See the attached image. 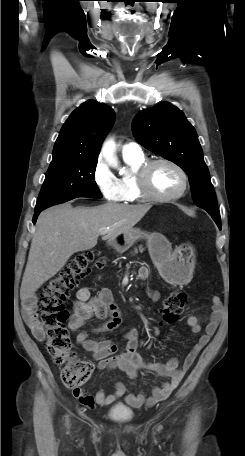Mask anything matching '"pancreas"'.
<instances>
[{
	"label": "pancreas",
	"mask_w": 245,
	"mask_h": 456,
	"mask_svg": "<svg viewBox=\"0 0 245 456\" xmlns=\"http://www.w3.org/2000/svg\"><path fill=\"white\" fill-rule=\"evenodd\" d=\"M139 251H140V252H143V251H144V249L142 248V246H139ZM134 253H135V254L138 253V250H137L136 248H135V250H134Z\"/></svg>",
	"instance_id": "pancreas-1"
}]
</instances>
